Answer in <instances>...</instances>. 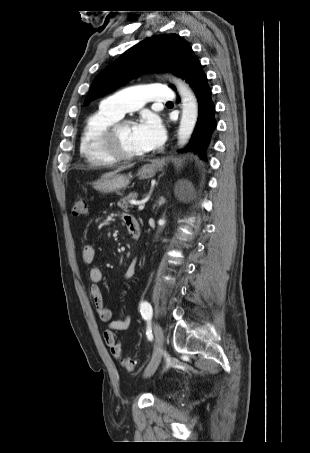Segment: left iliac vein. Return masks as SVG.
I'll use <instances>...</instances> for the list:
<instances>
[{
  "mask_svg": "<svg viewBox=\"0 0 310 453\" xmlns=\"http://www.w3.org/2000/svg\"><path fill=\"white\" fill-rule=\"evenodd\" d=\"M153 333L155 336V350L152 356L151 361L144 370V377H150L156 371L162 357L163 347H164V334L163 330L159 324L155 323L153 325Z\"/></svg>",
  "mask_w": 310,
  "mask_h": 453,
  "instance_id": "4c4485c4",
  "label": "left iliac vein"
}]
</instances>
